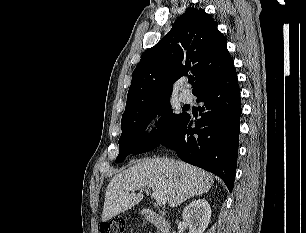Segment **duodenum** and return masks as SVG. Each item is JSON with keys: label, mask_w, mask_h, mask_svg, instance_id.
<instances>
[{"label": "duodenum", "mask_w": 306, "mask_h": 233, "mask_svg": "<svg viewBox=\"0 0 306 233\" xmlns=\"http://www.w3.org/2000/svg\"><path fill=\"white\" fill-rule=\"evenodd\" d=\"M144 215L157 229L158 233H171L170 223L151 209H145Z\"/></svg>", "instance_id": "410a0bca"}]
</instances>
